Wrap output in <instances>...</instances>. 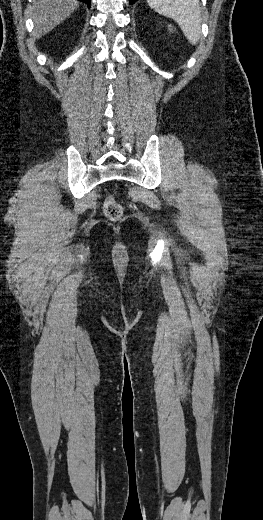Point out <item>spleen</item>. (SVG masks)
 <instances>
[{
  "label": "spleen",
  "mask_w": 263,
  "mask_h": 520,
  "mask_svg": "<svg viewBox=\"0 0 263 520\" xmlns=\"http://www.w3.org/2000/svg\"><path fill=\"white\" fill-rule=\"evenodd\" d=\"M161 15L175 20L187 40L196 45L201 37V8L199 0H147Z\"/></svg>",
  "instance_id": "1"
}]
</instances>
